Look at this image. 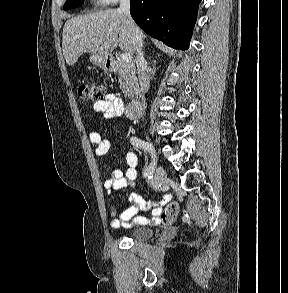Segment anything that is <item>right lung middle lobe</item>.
Returning a JSON list of instances; mask_svg holds the SVG:
<instances>
[{"label":"right lung middle lobe","instance_id":"right-lung-middle-lobe-1","mask_svg":"<svg viewBox=\"0 0 288 293\" xmlns=\"http://www.w3.org/2000/svg\"><path fill=\"white\" fill-rule=\"evenodd\" d=\"M84 0H66L63 9L68 10L80 6Z\"/></svg>","mask_w":288,"mask_h":293}]
</instances>
